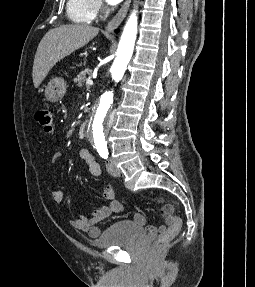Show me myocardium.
<instances>
[{
	"label": "myocardium",
	"instance_id": "obj_1",
	"mask_svg": "<svg viewBox=\"0 0 255 287\" xmlns=\"http://www.w3.org/2000/svg\"><path fill=\"white\" fill-rule=\"evenodd\" d=\"M97 39H106V38H97Z\"/></svg>",
	"mask_w": 255,
	"mask_h": 287
}]
</instances>
